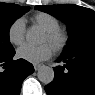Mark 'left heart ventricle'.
Wrapping results in <instances>:
<instances>
[{
  "instance_id": "1",
  "label": "left heart ventricle",
  "mask_w": 95,
  "mask_h": 95,
  "mask_svg": "<svg viewBox=\"0 0 95 95\" xmlns=\"http://www.w3.org/2000/svg\"><path fill=\"white\" fill-rule=\"evenodd\" d=\"M41 42H42V43H48V44H50L49 41H48V38H47L46 34L43 36Z\"/></svg>"
}]
</instances>
